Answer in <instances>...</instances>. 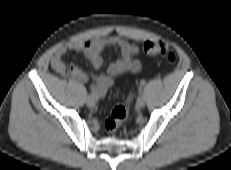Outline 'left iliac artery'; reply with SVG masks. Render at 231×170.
<instances>
[{
	"label": "left iliac artery",
	"instance_id": "left-iliac-artery-1",
	"mask_svg": "<svg viewBox=\"0 0 231 170\" xmlns=\"http://www.w3.org/2000/svg\"><path fill=\"white\" fill-rule=\"evenodd\" d=\"M144 83H145L144 81L141 82L142 85H144Z\"/></svg>",
	"mask_w": 231,
	"mask_h": 170
}]
</instances>
